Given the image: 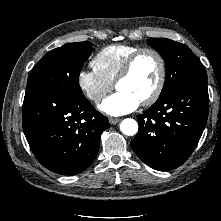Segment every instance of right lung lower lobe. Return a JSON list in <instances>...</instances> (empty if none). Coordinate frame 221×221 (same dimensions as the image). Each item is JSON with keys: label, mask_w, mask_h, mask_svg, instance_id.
<instances>
[{"label": "right lung lower lobe", "mask_w": 221, "mask_h": 221, "mask_svg": "<svg viewBox=\"0 0 221 221\" xmlns=\"http://www.w3.org/2000/svg\"><path fill=\"white\" fill-rule=\"evenodd\" d=\"M23 130L37 160L61 175L83 172L95 160L109 121L83 96L26 88Z\"/></svg>", "instance_id": "98d812e1"}]
</instances>
